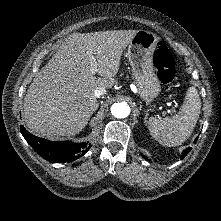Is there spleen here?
Returning <instances> with one entry per match:
<instances>
[{
	"instance_id": "obj_1",
	"label": "spleen",
	"mask_w": 221,
	"mask_h": 221,
	"mask_svg": "<svg viewBox=\"0 0 221 221\" xmlns=\"http://www.w3.org/2000/svg\"><path fill=\"white\" fill-rule=\"evenodd\" d=\"M201 101L195 87L187 90L180 111L165 119L150 117L148 129L152 137L163 146H178L192 134L199 118Z\"/></svg>"
}]
</instances>
